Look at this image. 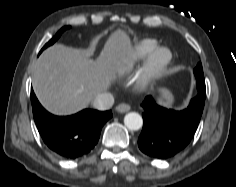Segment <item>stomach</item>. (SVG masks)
I'll list each match as a JSON object with an SVG mask.
<instances>
[{"instance_id":"0dacf381","label":"stomach","mask_w":236,"mask_h":187,"mask_svg":"<svg viewBox=\"0 0 236 187\" xmlns=\"http://www.w3.org/2000/svg\"><path fill=\"white\" fill-rule=\"evenodd\" d=\"M173 95L170 90L166 88H161L159 90V97H158V102L161 105H164L166 107H171L173 105Z\"/></svg>"}]
</instances>
